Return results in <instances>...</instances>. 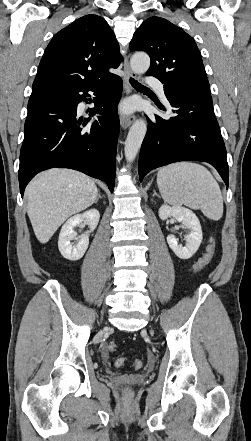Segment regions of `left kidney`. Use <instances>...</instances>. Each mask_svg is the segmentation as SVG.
Listing matches in <instances>:
<instances>
[{
    "instance_id": "5707ae66",
    "label": "left kidney",
    "mask_w": 251,
    "mask_h": 441,
    "mask_svg": "<svg viewBox=\"0 0 251 441\" xmlns=\"http://www.w3.org/2000/svg\"><path fill=\"white\" fill-rule=\"evenodd\" d=\"M159 217L161 220L173 217L178 222H181L184 228L189 231V233L184 236L186 240L185 246L178 244L174 235H168L167 242L176 256L181 259L191 258L197 252L203 238L201 225L195 213L181 206L170 207L163 205L159 209Z\"/></svg>"
}]
</instances>
